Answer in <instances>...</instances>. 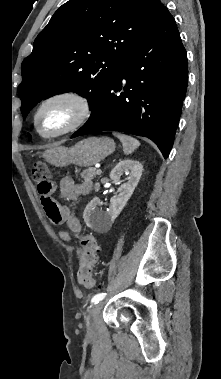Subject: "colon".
Instances as JSON below:
<instances>
[{
	"label": "colon",
	"instance_id": "colon-1",
	"mask_svg": "<svg viewBox=\"0 0 221 379\" xmlns=\"http://www.w3.org/2000/svg\"><path fill=\"white\" fill-rule=\"evenodd\" d=\"M32 179L37 183L38 191L41 195H47L52 187V173L48 165L42 162L34 164L32 169ZM83 248L81 264L78 270V281L86 288H93L95 280L92 275L93 267L98 260L99 246L96 239L90 235L78 236Z\"/></svg>",
	"mask_w": 221,
	"mask_h": 379
}]
</instances>
